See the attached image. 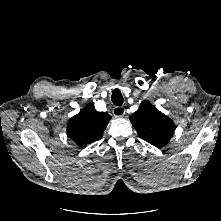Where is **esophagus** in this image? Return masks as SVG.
I'll return each mask as SVG.
<instances>
[{"label":"esophagus","mask_w":221,"mask_h":221,"mask_svg":"<svg viewBox=\"0 0 221 221\" xmlns=\"http://www.w3.org/2000/svg\"><path fill=\"white\" fill-rule=\"evenodd\" d=\"M112 113L115 117H123L126 114L124 107L116 106L113 108Z\"/></svg>","instance_id":"esophagus-1"}]
</instances>
